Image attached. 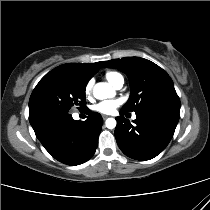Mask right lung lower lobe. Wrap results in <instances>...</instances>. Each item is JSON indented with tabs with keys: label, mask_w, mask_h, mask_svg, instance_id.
Returning <instances> with one entry per match:
<instances>
[{
	"label": "right lung lower lobe",
	"mask_w": 210,
	"mask_h": 210,
	"mask_svg": "<svg viewBox=\"0 0 210 210\" xmlns=\"http://www.w3.org/2000/svg\"><path fill=\"white\" fill-rule=\"evenodd\" d=\"M85 121H76L70 114H55L31 123L36 137L56 160L79 165L95 153L103 119L99 113L87 112Z\"/></svg>",
	"instance_id": "1"
}]
</instances>
